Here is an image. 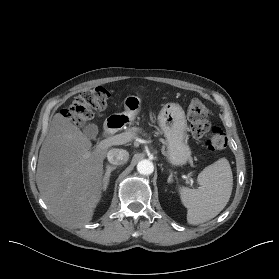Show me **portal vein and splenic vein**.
<instances>
[{
    "label": "portal vein and splenic vein",
    "instance_id": "18ae733b",
    "mask_svg": "<svg viewBox=\"0 0 279 279\" xmlns=\"http://www.w3.org/2000/svg\"><path fill=\"white\" fill-rule=\"evenodd\" d=\"M132 136L128 132H123L121 134L106 138L99 142L97 149H104L112 145L125 144L131 141Z\"/></svg>",
    "mask_w": 279,
    "mask_h": 279
}]
</instances>
